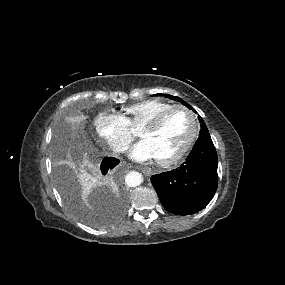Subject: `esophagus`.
Listing matches in <instances>:
<instances>
[{
	"instance_id": "1",
	"label": "esophagus",
	"mask_w": 285,
	"mask_h": 285,
	"mask_svg": "<svg viewBox=\"0 0 285 285\" xmlns=\"http://www.w3.org/2000/svg\"><path fill=\"white\" fill-rule=\"evenodd\" d=\"M140 170L145 174V175H150L152 174V169L149 167H141Z\"/></svg>"
}]
</instances>
